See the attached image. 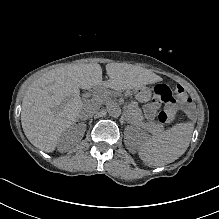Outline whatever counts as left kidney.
<instances>
[{
	"instance_id": "5707ae66",
	"label": "left kidney",
	"mask_w": 219,
	"mask_h": 219,
	"mask_svg": "<svg viewBox=\"0 0 219 219\" xmlns=\"http://www.w3.org/2000/svg\"><path fill=\"white\" fill-rule=\"evenodd\" d=\"M135 134H136V136H137L138 138H141V137H142V134H141L139 131H136Z\"/></svg>"
}]
</instances>
